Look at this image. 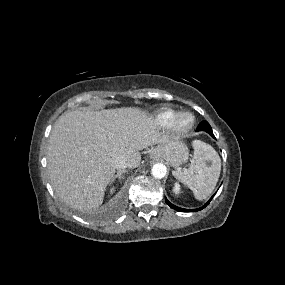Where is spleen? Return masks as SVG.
Here are the masks:
<instances>
[{
	"mask_svg": "<svg viewBox=\"0 0 285 285\" xmlns=\"http://www.w3.org/2000/svg\"><path fill=\"white\" fill-rule=\"evenodd\" d=\"M194 155L189 168L178 169L173 175L190 188L196 199H206L214 190L221 171V160L215 149L202 141L192 143Z\"/></svg>",
	"mask_w": 285,
	"mask_h": 285,
	"instance_id": "spleen-1",
	"label": "spleen"
}]
</instances>
